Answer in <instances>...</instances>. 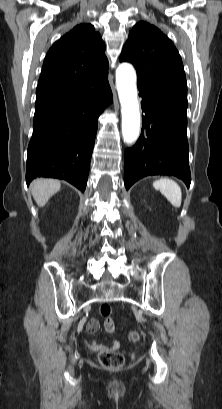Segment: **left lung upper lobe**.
Here are the masks:
<instances>
[{"instance_id":"left-lung-upper-lobe-1","label":"left lung upper lobe","mask_w":222,"mask_h":409,"mask_svg":"<svg viewBox=\"0 0 222 409\" xmlns=\"http://www.w3.org/2000/svg\"><path fill=\"white\" fill-rule=\"evenodd\" d=\"M119 61L135 66L139 93L187 101L181 57L171 40L155 26L138 22L129 33Z\"/></svg>"}]
</instances>
